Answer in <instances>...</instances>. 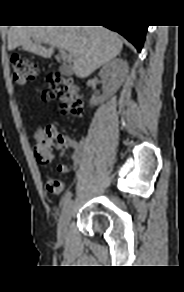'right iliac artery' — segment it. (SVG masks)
<instances>
[{
    "mask_svg": "<svg viewBox=\"0 0 184 292\" xmlns=\"http://www.w3.org/2000/svg\"><path fill=\"white\" fill-rule=\"evenodd\" d=\"M71 196L72 193L70 191H67L65 195L62 197V204L64 207L70 202Z\"/></svg>",
    "mask_w": 184,
    "mask_h": 292,
    "instance_id": "82829eb1",
    "label": "right iliac artery"
}]
</instances>
